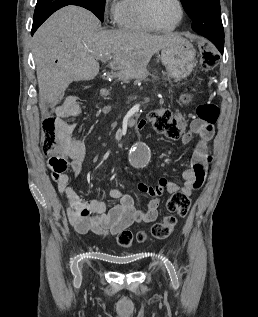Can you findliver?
<instances>
[{
  "label": "liver",
  "mask_w": 258,
  "mask_h": 317,
  "mask_svg": "<svg viewBox=\"0 0 258 317\" xmlns=\"http://www.w3.org/2000/svg\"><path fill=\"white\" fill-rule=\"evenodd\" d=\"M100 20L82 6H64L49 16L33 36V54L41 100L57 102L72 80H90L98 58L112 54L113 70H146L153 54L180 42L176 32L99 30ZM99 30V32H98Z\"/></svg>",
  "instance_id": "liver-1"
}]
</instances>
